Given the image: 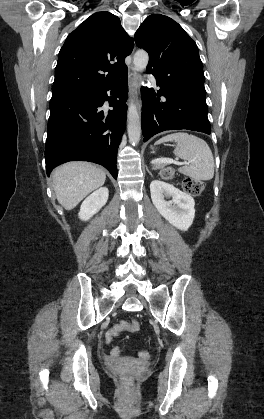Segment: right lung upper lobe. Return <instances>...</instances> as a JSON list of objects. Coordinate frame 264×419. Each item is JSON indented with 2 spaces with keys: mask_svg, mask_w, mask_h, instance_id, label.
<instances>
[{
  "mask_svg": "<svg viewBox=\"0 0 264 419\" xmlns=\"http://www.w3.org/2000/svg\"><path fill=\"white\" fill-rule=\"evenodd\" d=\"M134 41L110 12H98L70 33L59 52L52 97L94 91L128 71Z\"/></svg>",
  "mask_w": 264,
  "mask_h": 419,
  "instance_id": "obj_1",
  "label": "right lung upper lobe"
}]
</instances>
